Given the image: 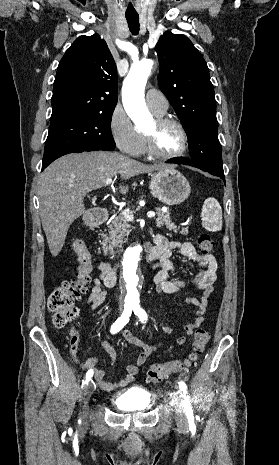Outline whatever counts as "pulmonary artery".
Here are the masks:
<instances>
[{"label":"pulmonary artery","instance_id":"pulmonary-artery-1","mask_svg":"<svg viewBox=\"0 0 279 465\" xmlns=\"http://www.w3.org/2000/svg\"><path fill=\"white\" fill-rule=\"evenodd\" d=\"M146 104L154 112L164 114L168 109V101L158 90L150 89L146 93Z\"/></svg>","mask_w":279,"mask_h":465}]
</instances>
